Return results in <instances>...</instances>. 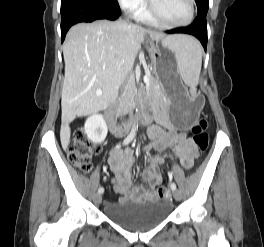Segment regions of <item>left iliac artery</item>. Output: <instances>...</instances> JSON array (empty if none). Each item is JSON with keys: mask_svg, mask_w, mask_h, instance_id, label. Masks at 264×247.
Returning a JSON list of instances; mask_svg holds the SVG:
<instances>
[{"mask_svg": "<svg viewBox=\"0 0 264 247\" xmlns=\"http://www.w3.org/2000/svg\"><path fill=\"white\" fill-rule=\"evenodd\" d=\"M169 175L172 177V174L171 173H169ZM170 187H171V189L173 191L176 190V184L175 183H171Z\"/></svg>", "mask_w": 264, "mask_h": 247, "instance_id": "left-iliac-artery-1", "label": "left iliac artery"}]
</instances>
